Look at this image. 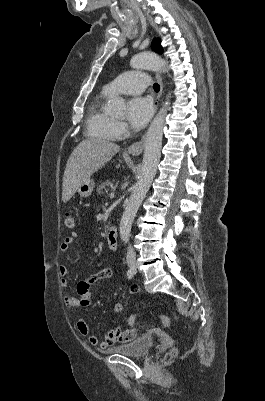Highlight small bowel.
<instances>
[{
    "instance_id": "c3829d8e",
    "label": "small bowel",
    "mask_w": 265,
    "mask_h": 401,
    "mask_svg": "<svg viewBox=\"0 0 265 401\" xmlns=\"http://www.w3.org/2000/svg\"><path fill=\"white\" fill-rule=\"evenodd\" d=\"M77 238L76 233H71L69 236L65 237L60 245V250L62 252H67L70 248L74 240ZM69 273V269L67 266L62 265L59 268V274L61 277V285L65 288L64 291V302L67 308L71 311H74L80 307L85 308L91 305V285L94 283L108 278L111 275V271L108 268H103L96 272L95 274L81 280L77 284V293L79 298H76L74 294L68 289L69 288V281L67 279V275ZM139 292L137 286H132L129 290L131 295H135ZM123 310V305L121 303H116L113 306V311L119 313ZM76 328L78 332L82 335L87 337L88 342L92 346H99L102 350H107L118 343H126L132 338L128 335V331H121L117 327H110L107 332L105 333L104 340L99 342L98 338L90 332V328L86 321L80 317L76 316Z\"/></svg>"
}]
</instances>
